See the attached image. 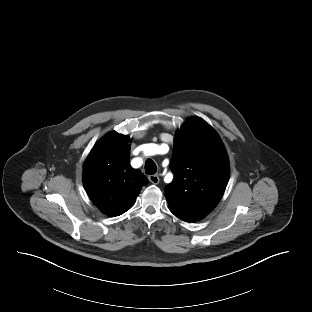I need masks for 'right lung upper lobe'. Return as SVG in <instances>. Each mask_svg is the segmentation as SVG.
Listing matches in <instances>:
<instances>
[{"label": "right lung upper lobe", "mask_w": 312, "mask_h": 312, "mask_svg": "<svg viewBox=\"0 0 312 312\" xmlns=\"http://www.w3.org/2000/svg\"><path fill=\"white\" fill-rule=\"evenodd\" d=\"M129 141L127 136L109 132L92 148L83 166L88 196L111 217L130 209L142 186L148 183L140 170L130 166Z\"/></svg>", "instance_id": "1"}]
</instances>
